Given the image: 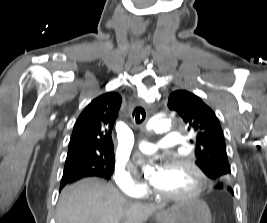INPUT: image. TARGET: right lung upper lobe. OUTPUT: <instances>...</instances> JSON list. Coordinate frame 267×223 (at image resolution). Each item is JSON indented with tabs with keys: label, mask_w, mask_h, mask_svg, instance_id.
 <instances>
[{
	"label": "right lung upper lobe",
	"mask_w": 267,
	"mask_h": 223,
	"mask_svg": "<svg viewBox=\"0 0 267 223\" xmlns=\"http://www.w3.org/2000/svg\"><path fill=\"white\" fill-rule=\"evenodd\" d=\"M121 102L118 93L108 92L83 110L74 125L66 160L114 155L111 133Z\"/></svg>",
	"instance_id": "right-lung-upper-lobe-1"
}]
</instances>
